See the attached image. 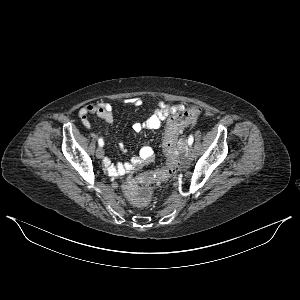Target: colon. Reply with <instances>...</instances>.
<instances>
[{
  "instance_id": "obj_1",
  "label": "colon",
  "mask_w": 300,
  "mask_h": 300,
  "mask_svg": "<svg viewBox=\"0 0 300 300\" xmlns=\"http://www.w3.org/2000/svg\"><path fill=\"white\" fill-rule=\"evenodd\" d=\"M200 112L201 109L194 106L172 117L163 143L164 150L168 156V165L153 173L143 175L140 182L132 181L125 185V194L135 206L142 207L148 203L151 195L150 184L166 183L175 173L178 166L177 138L188 125L198 118Z\"/></svg>"
}]
</instances>
